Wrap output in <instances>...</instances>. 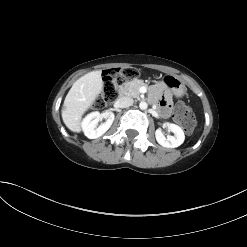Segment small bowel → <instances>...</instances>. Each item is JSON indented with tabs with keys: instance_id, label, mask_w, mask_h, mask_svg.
Instances as JSON below:
<instances>
[{
	"instance_id": "small-bowel-1",
	"label": "small bowel",
	"mask_w": 247,
	"mask_h": 247,
	"mask_svg": "<svg viewBox=\"0 0 247 247\" xmlns=\"http://www.w3.org/2000/svg\"><path fill=\"white\" fill-rule=\"evenodd\" d=\"M162 85L158 84L153 89L152 100L157 101L164 116H169L171 112V97L168 93L161 96Z\"/></svg>"
}]
</instances>
